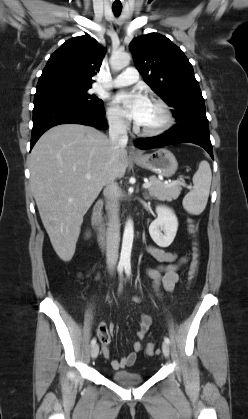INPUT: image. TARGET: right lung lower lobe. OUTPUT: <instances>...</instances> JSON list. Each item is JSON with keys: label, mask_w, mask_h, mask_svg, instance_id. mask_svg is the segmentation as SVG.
<instances>
[{"label": "right lung lower lobe", "mask_w": 248, "mask_h": 419, "mask_svg": "<svg viewBox=\"0 0 248 419\" xmlns=\"http://www.w3.org/2000/svg\"><path fill=\"white\" fill-rule=\"evenodd\" d=\"M76 123L100 128L106 125L105 111H95L81 103L54 101L34 105L31 149L49 128Z\"/></svg>", "instance_id": "right-lung-lower-lobe-1"}]
</instances>
